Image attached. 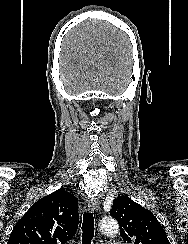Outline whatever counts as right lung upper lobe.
<instances>
[{
	"instance_id": "cb5924a9",
	"label": "right lung upper lobe",
	"mask_w": 188,
	"mask_h": 244,
	"mask_svg": "<svg viewBox=\"0 0 188 244\" xmlns=\"http://www.w3.org/2000/svg\"><path fill=\"white\" fill-rule=\"evenodd\" d=\"M78 200L63 190L41 198L16 223L7 244H64L76 233Z\"/></svg>"
}]
</instances>
